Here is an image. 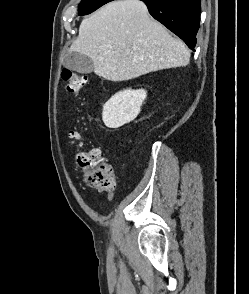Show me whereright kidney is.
<instances>
[{
    "instance_id": "1",
    "label": "right kidney",
    "mask_w": 249,
    "mask_h": 294,
    "mask_svg": "<svg viewBox=\"0 0 249 294\" xmlns=\"http://www.w3.org/2000/svg\"><path fill=\"white\" fill-rule=\"evenodd\" d=\"M147 96L144 89L116 93L103 106L102 119L109 128H119L134 120Z\"/></svg>"
}]
</instances>
